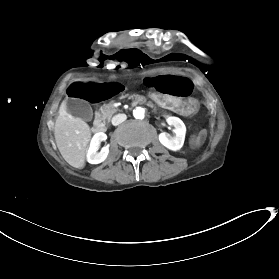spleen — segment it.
<instances>
[{"instance_id": "spleen-1", "label": "spleen", "mask_w": 279, "mask_h": 279, "mask_svg": "<svg viewBox=\"0 0 279 279\" xmlns=\"http://www.w3.org/2000/svg\"><path fill=\"white\" fill-rule=\"evenodd\" d=\"M205 140V130H200L198 135H196V141H194L195 151H200Z\"/></svg>"}]
</instances>
